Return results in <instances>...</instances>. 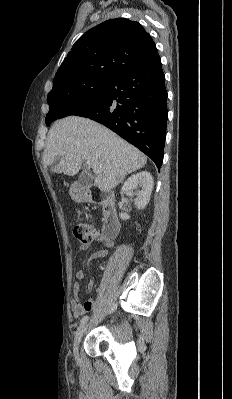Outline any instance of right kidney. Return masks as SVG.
Wrapping results in <instances>:
<instances>
[{
    "label": "right kidney",
    "instance_id": "right-kidney-1",
    "mask_svg": "<svg viewBox=\"0 0 232 399\" xmlns=\"http://www.w3.org/2000/svg\"><path fill=\"white\" fill-rule=\"evenodd\" d=\"M153 186V178L149 172H138V174H134V176L126 180L121 192L136 196L134 198L136 207L144 209L150 200ZM120 217L121 219H129L130 215L128 213H120Z\"/></svg>",
    "mask_w": 232,
    "mask_h": 399
}]
</instances>
